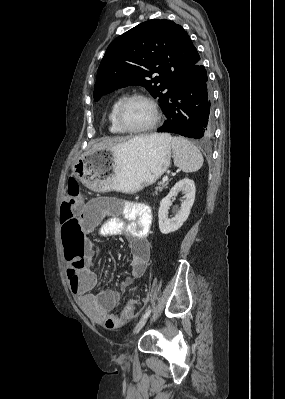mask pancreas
<instances>
[{
    "mask_svg": "<svg viewBox=\"0 0 285 399\" xmlns=\"http://www.w3.org/2000/svg\"><path fill=\"white\" fill-rule=\"evenodd\" d=\"M165 187H167V183L165 182L158 184V186L155 187L154 194L157 195L158 192H161Z\"/></svg>",
    "mask_w": 285,
    "mask_h": 399,
    "instance_id": "pancreas-1",
    "label": "pancreas"
}]
</instances>
